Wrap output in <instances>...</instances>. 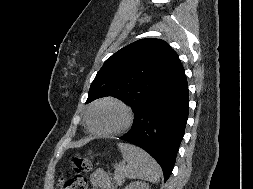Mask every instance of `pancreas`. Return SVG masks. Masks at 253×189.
<instances>
[{
	"label": "pancreas",
	"mask_w": 253,
	"mask_h": 189,
	"mask_svg": "<svg viewBox=\"0 0 253 189\" xmlns=\"http://www.w3.org/2000/svg\"><path fill=\"white\" fill-rule=\"evenodd\" d=\"M113 180L116 182L118 186H121L125 181V174L123 169L115 170V174L113 176Z\"/></svg>",
	"instance_id": "pancreas-1"
}]
</instances>
